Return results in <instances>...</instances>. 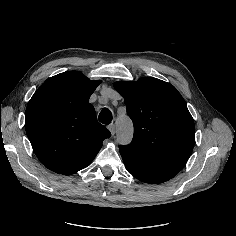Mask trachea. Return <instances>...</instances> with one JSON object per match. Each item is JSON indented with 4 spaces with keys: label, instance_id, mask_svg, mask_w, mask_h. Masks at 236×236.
<instances>
[{
    "label": "trachea",
    "instance_id": "3493384b",
    "mask_svg": "<svg viewBox=\"0 0 236 236\" xmlns=\"http://www.w3.org/2000/svg\"><path fill=\"white\" fill-rule=\"evenodd\" d=\"M103 124H109L112 121V113L108 108H103L98 117Z\"/></svg>",
    "mask_w": 236,
    "mask_h": 236
}]
</instances>
